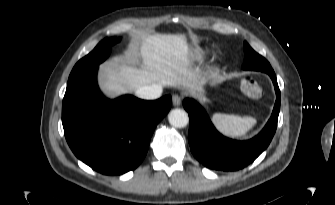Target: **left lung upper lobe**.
<instances>
[{
    "label": "left lung upper lobe",
    "instance_id": "5c2ea615",
    "mask_svg": "<svg viewBox=\"0 0 335 205\" xmlns=\"http://www.w3.org/2000/svg\"><path fill=\"white\" fill-rule=\"evenodd\" d=\"M245 58L242 68L244 70H255L262 72H274L270 63L261 55L256 53L247 42H244Z\"/></svg>",
    "mask_w": 335,
    "mask_h": 205
}]
</instances>
